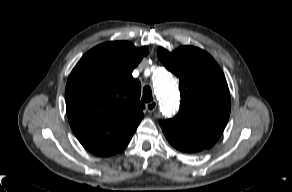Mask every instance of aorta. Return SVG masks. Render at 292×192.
<instances>
[{"label": "aorta", "mask_w": 292, "mask_h": 192, "mask_svg": "<svg viewBox=\"0 0 292 192\" xmlns=\"http://www.w3.org/2000/svg\"><path fill=\"white\" fill-rule=\"evenodd\" d=\"M154 91L166 114H173L179 106V92L170 73L164 68L156 71L153 77Z\"/></svg>", "instance_id": "1"}]
</instances>
